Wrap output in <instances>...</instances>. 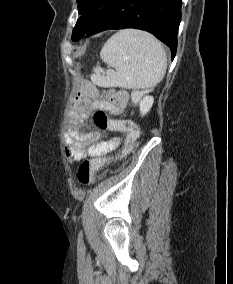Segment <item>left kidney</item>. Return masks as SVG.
Listing matches in <instances>:
<instances>
[{"label":"left kidney","mask_w":233,"mask_h":284,"mask_svg":"<svg viewBox=\"0 0 233 284\" xmlns=\"http://www.w3.org/2000/svg\"><path fill=\"white\" fill-rule=\"evenodd\" d=\"M154 103V99L152 96H144L143 99L140 101L139 107H140V113L142 116L147 114L152 105Z\"/></svg>","instance_id":"1"}]
</instances>
